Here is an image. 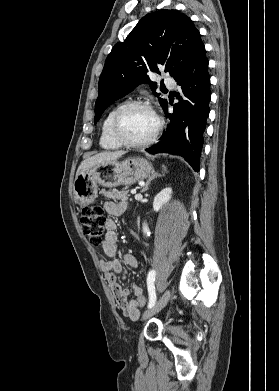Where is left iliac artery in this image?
Wrapping results in <instances>:
<instances>
[{
  "label": "left iliac artery",
  "instance_id": "obj_1",
  "mask_svg": "<svg viewBox=\"0 0 279 391\" xmlns=\"http://www.w3.org/2000/svg\"><path fill=\"white\" fill-rule=\"evenodd\" d=\"M155 275H156V271L151 270L147 276V288L149 293L148 308H152L156 302V293H155V286H154Z\"/></svg>",
  "mask_w": 279,
  "mask_h": 391
}]
</instances>
